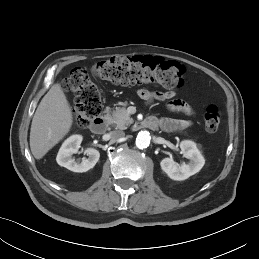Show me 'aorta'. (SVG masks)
Wrapping results in <instances>:
<instances>
[{
  "mask_svg": "<svg viewBox=\"0 0 259 259\" xmlns=\"http://www.w3.org/2000/svg\"><path fill=\"white\" fill-rule=\"evenodd\" d=\"M150 140L151 136L148 131H140L136 138V146L138 148H146L149 146Z\"/></svg>",
  "mask_w": 259,
  "mask_h": 259,
  "instance_id": "1",
  "label": "aorta"
}]
</instances>
